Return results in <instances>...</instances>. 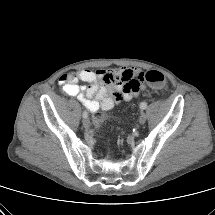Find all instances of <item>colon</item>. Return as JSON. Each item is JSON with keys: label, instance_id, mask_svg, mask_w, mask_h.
<instances>
[{"label": "colon", "instance_id": "1", "mask_svg": "<svg viewBox=\"0 0 215 215\" xmlns=\"http://www.w3.org/2000/svg\"><path fill=\"white\" fill-rule=\"evenodd\" d=\"M141 80H145L149 85L155 88H162L165 85L164 75L157 70H150L141 76ZM135 83L133 86H137ZM105 116L99 112H96L93 116L94 124L99 127L104 120Z\"/></svg>", "mask_w": 215, "mask_h": 215}]
</instances>
